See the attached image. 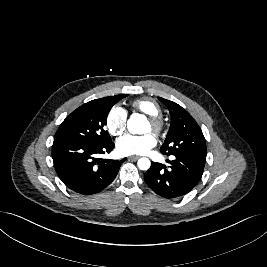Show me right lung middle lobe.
I'll use <instances>...</instances> for the list:
<instances>
[{"label":"right lung middle lobe","mask_w":267,"mask_h":267,"mask_svg":"<svg viewBox=\"0 0 267 267\" xmlns=\"http://www.w3.org/2000/svg\"><path fill=\"white\" fill-rule=\"evenodd\" d=\"M128 96L119 94L89 101L68 115L58 128L54 142L67 141L83 144L104 145L111 142L104 129L112 106Z\"/></svg>","instance_id":"right-lung-middle-lobe-1"}]
</instances>
